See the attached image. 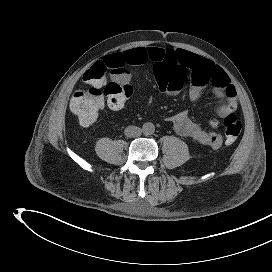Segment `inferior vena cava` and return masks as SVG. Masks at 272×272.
Masks as SVG:
<instances>
[{
	"instance_id": "obj_1",
	"label": "inferior vena cava",
	"mask_w": 272,
	"mask_h": 272,
	"mask_svg": "<svg viewBox=\"0 0 272 272\" xmlns=\"http://www.w3.org/2000/svg\"><path fill=\"white\" fill-rule=\"evenodd\" d=\"M124 132L127 137L132 138L140 136L142 133V129L137 126H128L127 128H125Z\"/></svg>"
}]
</instances>
